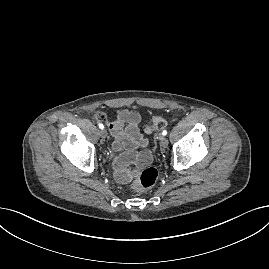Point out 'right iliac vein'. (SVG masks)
<instances>
[{"instance_id": "63e3f726", "label": "right iliac vein", "mask_w": 269, "mask_h": 269, "mask_svg": "<svg viewBox=\"0 0 269 269\" xmlns=\"http://www.w3.org/2000/svg\"><path fill=\"white\" fill-rule=\"evenodd\" d=\"M100 136H101L103 139L106 138V136H107V132H106V130L102 129V130L100 131Z\"/></svg>"}]
</instances>
